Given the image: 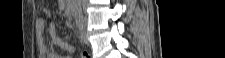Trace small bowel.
Listing matches in <instances>:
<instances>
[{"label": "small bowel", "mask_w": 225, "mask_h": 58, "mask_svg": "<svg viewBox=\"0 0 225 58\" xmlns=\"http://www.w3.org/2000/svg\"><path fill=\"white\" fill-rule=\"evenodd\" d=\"M37 23H38V27L41 30L45 28V22L43 19H39ZM48 31L52 40V47L51 49L48 50L44 44L40 46V53L43 58H69V57L58 54L55 51L54 46L60 47L62 50L66 51L68 54L75 53L74 45L68 43L67 41H64L61 37L57 35V31H56V27L54 23L48 24Z\"/></svg>", "instance_id": "c3829d8e"}]
</instances>
